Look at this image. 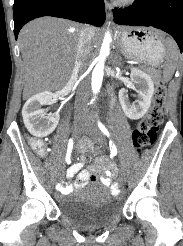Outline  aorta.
Returning a JSON list of instances; mask_svg holds the SVG:
<instances>
[{"label":"aorta","mask_w":183,"mask_h":246,"mask_svg":"<svg viewBox=\"0 0 183 246\" xmlns=\"http://www.w3.org/2000/svg\"><path fill=\"white\" fill-rule=\"evenodd\" d=\"M112 41L111 34L109 31L105 33L103 43L101 46L100 54L97 58V64L92 72V90L94 94H97L100 91L103 75H104V64L105 60L110 53V43Z\"/></svg>","instance_id":"1"}]
</instances>
